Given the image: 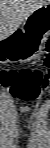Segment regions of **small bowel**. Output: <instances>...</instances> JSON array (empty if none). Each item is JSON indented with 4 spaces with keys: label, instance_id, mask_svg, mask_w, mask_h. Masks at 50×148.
<instances>
[{
    "label": "small bowel",
    "instance_id": "1",
    "mask_svg": "<svg viewBox=\"0 0 50 148\" xmlns=\"http://www.w3.org/2000/svg\"><path fill=\"white\" fill-rule=\"evenodd\" d=\"M20 110H21V111H26V110H29V107H20ZM17 134H18V136H19L20 138H22V137L25 136L23 130L20 129V128L17 129ZM3 147H8V146H7V144H4ZM11 147H13V148H18L19 146H18V145H13V146H11ZM34 147L42 148V147H47V146L44 145V144H39V145H36V146H34Z\"/></svg>",
    "mask_w": 50,
    "mask_h": 148
}]
</instances>
